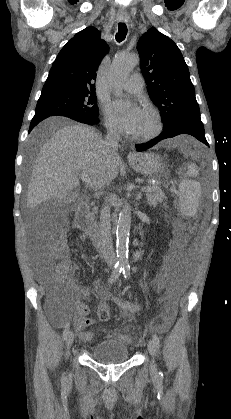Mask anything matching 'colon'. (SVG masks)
Segmentation results:
<instances>
[{"instance_id": "colon-1", "label": "colon", "mask_w": 231, "mask_h": 419, "mask_svg": "<svg viewBox=\"0 0 231 419\" xmlns=\"http://www.w3.org/2000/svg\"><path fill=\"white\" fill-rule=\"evenodd\" d=\"M70 249L64 240H58L52 244L48 249V267L46 270V279L52 286L68 283L72 274V266L69 263ZM98 316L102 321H107L110 317L109 308L102 306L98 309ZM165 322L160 323V331L165 330ZM123 341L130 343L129 338H124Z\"/></svg>"}]
</instances>
